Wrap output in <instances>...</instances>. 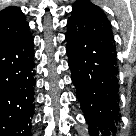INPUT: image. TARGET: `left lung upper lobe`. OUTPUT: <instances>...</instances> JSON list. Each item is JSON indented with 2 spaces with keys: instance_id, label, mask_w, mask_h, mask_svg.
<instances>
[{
  "instance_id": "5c2ea615",
  "label": "left lung upper lobe",
  "mask_w": 136,
  "mask_h": 136,
  "mask_svg": "<svg viewBox=\"0 0 136 136\" xmlns=\"http://www.w3.org/2000/svg\"><path fill=\"white\" fill-rule=\"evenodd\" d=\"M85 10L101 11L98 6L92 4L88 0H78L73 4L72 15L81 13Z\"/></svg>"
}]
</instances>
